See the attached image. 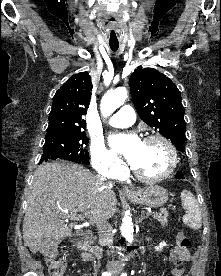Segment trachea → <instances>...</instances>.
I'll return each mask as SVG.
<instances>
[{
	"label": "trachea",
	"instance_id": "3493384b",
	"mask_svg": "<svg viewBox=\"0 0 221 276\" xmlns=\"http://www.w3.org/2000/svg\"><path fill=\"white\" fill-rule=\"evenodd\" d=\"M111 33H114V32H111ZM109 45H110V48L113 52H116L119 48V43L118 42H110Z\"/></svg>",
	"mask_w": 221,
	"mask_h": 276
}]
</instances>
